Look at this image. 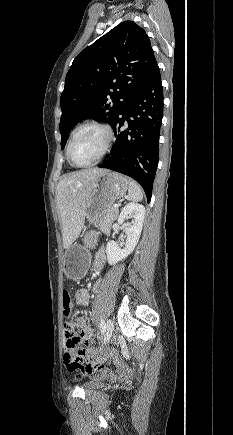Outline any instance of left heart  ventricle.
<instances>
[{"mask_svg":"<svg viewBox=\"0 0 233 435\" xmlns=\"http://www.w3.org/2000/svg\"><path fill=\"white\" fill-rule=\"evenodd\" d=\"M105 142L104 133L96 127H86L75 136L71 146V157L76 164L93 161Z\"/></svg>","mask_w":233,"mask_h":435,"instance_id":"left-heart-ventricle-1","label":"left heart ventricle"}]
</instances>
